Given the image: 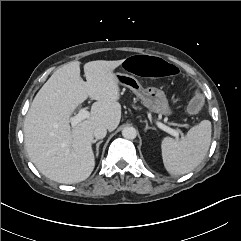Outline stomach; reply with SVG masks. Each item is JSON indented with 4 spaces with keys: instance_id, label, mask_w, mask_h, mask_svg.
Segmentation results:
<instances>
[{
    "instance_id": "0dacf381",
    "label": "stomach",
    "mask_w": 241,
    "mask_h": 241,
    "mask_svg": "<svg viewBox=\"0 0 241 241\" xmlns=\"http://www.w3.org/2000/svg\"><path fill=\"white\" fill-rule=\"evenodd\" d=\"M115 76L118 83L129 87L150 112L165 116L172 114L166 95L162 90L155 87L144 89L134 74L115 73Z\"/></svg>"
}]
</instances>
